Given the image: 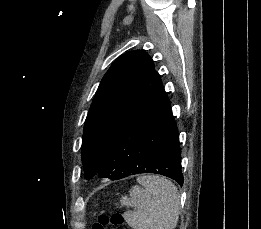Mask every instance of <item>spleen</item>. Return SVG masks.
I'll return each mask as SVG.
<instances>
[{
    "label": "spleen",
    "instance_id": "spleen-1",
    "mask_svg": "<svg viewBox=\"0 0 261 229\" xmlns=\"http://www.w3.org/2000/svg\"><path fill=\"white\" fill-rule=\"evenodd\" d=\"M131 187L130 199L122 197L121 205L137 207L135 213L127 211L123 217L132 229H175L180 213V197L174 183L158 177H137Z\"/></svg>",
    "mask_w": 261,
    "mask_h": 229
}]
</instances>
